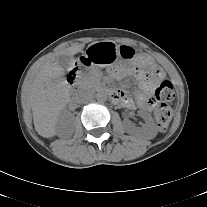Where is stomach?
Segmentation results:
<instances>
[{"mask_svg":"<svg viewBox=\"0 0 207 207\" xmlns=\"http://www.w3.org/2000/svg\"><path fill=\"white\" fill-rule=\"evenodd\" d=\"M133 54L134 51L130 47L111 41H100L89 45L84 57L92 66L106 68L111 73L117 70L122 57L131 58Z\"/></svg>","mask_w":207,"mask_h":207,"instance_id":"1","label":"stomach"}]
</instances>
